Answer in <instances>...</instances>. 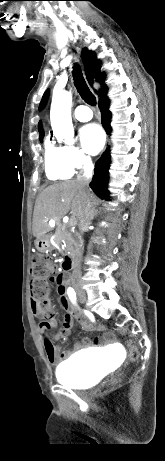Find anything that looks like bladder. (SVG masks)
Masks as SVG:
<instances>
[{
  "label": "bladder",
  "instance_id": "obj_1",
  "mask_svg": "<svg viewBox=\"0 0 165 461\" xmlns=\"http://www.w3.org/2000/svg\"><path fill=\"white\" fill-rule=\"evenodd\" d=\"M89 352H80L56 368L57 380L67 386L83 389L92 386L104 372L106 359L97 360Z\"/></svg>",
  "mask_w": 165,
  "mask_h": 461
}]
</instances>
